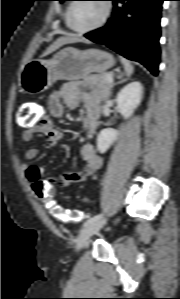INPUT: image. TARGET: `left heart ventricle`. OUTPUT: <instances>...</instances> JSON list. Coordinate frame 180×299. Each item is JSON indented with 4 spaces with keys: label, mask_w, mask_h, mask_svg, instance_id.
<instances>
[{
    "label": "left heart ventricle",
    "mask_w": 180,
    "mask_h": 299,
    "mask_svg": "<svg viewBox=\"0 0 180 299\" xmlns=\"http://www.w3.org/2000/svg\"><path fill=\"white\" fill-rule=\"evenodd\" d=\"M102 2H77L72 12V24L79 29L97 24L103 16Z\"/></svg>",
    "instance_id": "b2bd125f"
}]
</instances>
